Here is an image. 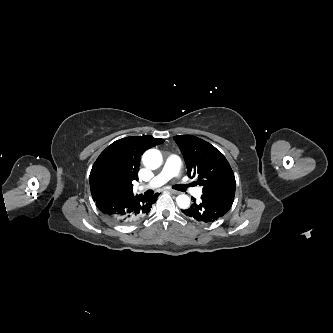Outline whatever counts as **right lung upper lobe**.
Instances as JSON below:
<instances>
[{"label": "right lung upper lobe", "mask_w": 333, "mask_h": 333, "mask_svg": "<svg viewBox=\"0 0 333 333\" xmlns=\"http://www.w3.org/2000/svg\"><path fill=\"white\" fill-rule=\"evenodd\" d=\"M163 141L150 135L131 136L109 145L99 155L90 172L93 200L109 195H133L132 182L138 180L141 155Z\"/></svg>", "instance_id": "cb5924a9"}]
</instances>
